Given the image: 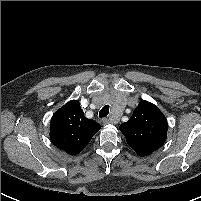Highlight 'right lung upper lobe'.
<instances>
[{
	"instance_id": "right-lung-upper-lobe-1",
	"label": "right lung upper lobe",
	"mask_w": 201,
	"mask_h": 201,
	"mask_svg": "<svg viewBox=\"0 0 201 201\" xmlns=\"http://www.w3.org/2000/svg\"><path fill=\"white\" fill-rule=\"evenodd\" d=\"M100 128V124L84 116L80 103L72 100L52 116L50 138L57 148L76 155L84 149Z\"/></svg>"
}]
</instances>
